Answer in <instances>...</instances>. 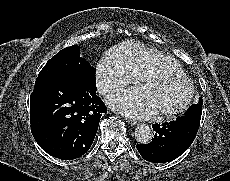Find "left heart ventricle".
<instances>
[{"label": "left heart ventricle", "instance_id": "obj_1", "mask_svg": "<svg viewBox=\"0 0 230 181\" xmlns=\"http://www.w3.org/2000/svg\"><path fill=\"white\" fill-rule=\"evenodd\" d=\"M188 93V86L181 80L154 79L149 81L142 92L145 99L156 111L178 107Z\"/></svg>", "mask_w": 230, "mask_h": 181}]
</instances>
